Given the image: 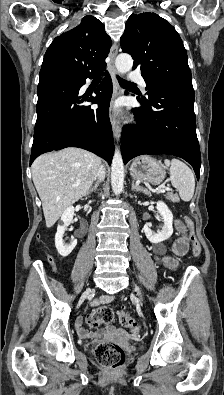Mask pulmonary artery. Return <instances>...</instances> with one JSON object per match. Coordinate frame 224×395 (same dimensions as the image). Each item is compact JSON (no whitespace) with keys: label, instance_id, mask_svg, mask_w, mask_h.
Instances as JSON below:
<instances>
[{"label":"pulmonary artery","instance_id":"obj_1","mask_svg":"<svg viewBox=\"0 0 224 395\" xmlns=\"http://www.w3.org/2000/svg\"><path fill=\"white\" fill-rule=\"evenodd\" d=\"M129 76L131 80L139 82L144 89L146 88V82L138 71H130Z\"/></svg>","mask_w":224,"mask_h":395}]
</instances>
